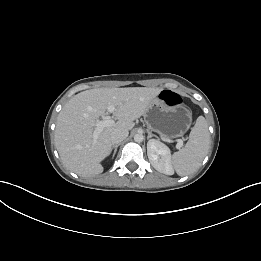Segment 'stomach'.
Wrapping results in <instances>:
<instances>
[{
  "label": "stomach",
  "mask_w": 261,
  "mask_h": 261,
  "mask_svg": "<svg viewBox=\"0 0 261 261\" xmlns=\"http://www.w3.org/2000/svg\"><path fill=\"white\" fill-rule=\"evenodd\" d=\"M144 119L151 130L172 139L188 131L192 113L186 106H169L163 100L155 98L146 109Z\"/></svg>",
  "instance_id": "1"
}]
</instances>
